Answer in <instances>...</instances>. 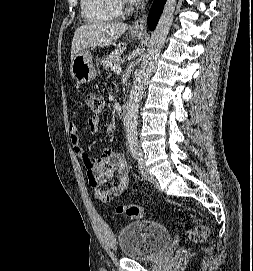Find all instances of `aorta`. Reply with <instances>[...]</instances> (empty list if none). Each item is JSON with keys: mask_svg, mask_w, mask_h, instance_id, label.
<instances>
[{"mask_svg": "<svg viewBox=\"0 0 253 271\" xmlns=\"http://www.w3.org/2000/svg\"><path fill=\"white\" fill-rule=\"evenodd\" d=\"M175 7L176 0H166L163 12L149 40L147 51L143 57L141 67L135 77L130 91L126 110V138L128 141L137 140V119L140 101L154 69L155 60L165 43L170 27L173 23Z\"/></svg>", "mask_w": 253, "mask_h": 271, "instance_id": "obj_1", "label": "aorta"}]
</instances>
